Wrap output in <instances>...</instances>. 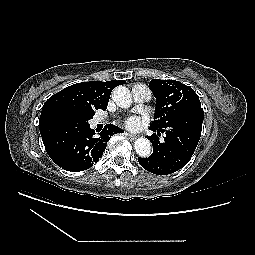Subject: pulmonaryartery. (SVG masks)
Segmentation results:
<instances>
[{"label": "pulmonary artery", "mask_w": 255, "mask_h": 255, "mask_svg": "<svg viewBox=\"0 0 255 255\" xmlns=\"http://www.w3.org/2000/svg\"><path fill=\"white\" fill-rule=\"evenodd\" d=\"M132 96L135 102H144L148 101L151 98V91L150 89L143 84H137L132 88ZM101 121V119H98Z\"/></svg>", "instance_id": "obj_1"}]
</instances>
